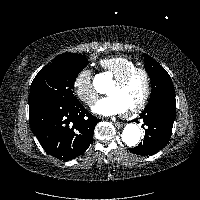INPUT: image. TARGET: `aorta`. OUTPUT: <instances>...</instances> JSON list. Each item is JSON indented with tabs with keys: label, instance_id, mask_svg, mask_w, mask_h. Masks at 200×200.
<instances>
[{
	"label": "aorta",
	"instance_id": "aorta-1",
	"mask_svg": "<svg viewBox=\"0 0 200 200\" xmlns=\"http://www.w3.org/2000/svg\"><path fill=\"white\" fill-rule=\"evenodd\" d=\"M141 137L140 128L134 124H127L122 132V140L128 147H134L138 144Z\"/></svg>",
	"mask_w": 200,
	"mask_h": 200
}]
</instances>
